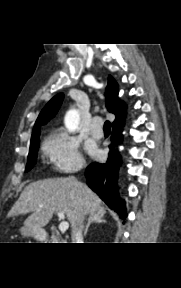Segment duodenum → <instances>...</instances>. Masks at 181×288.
<instances>
[{
    "instance_id": "obj_1",
    "label": "duodenum",
    "mask_w": 181,
    "mask_h": 288,
    "mask_svg": "<svg viewBox=\"0 0 181 288\" xmlns=\"http://www.w3.org/2000/svg\"><path fill=\"white\" fill-rule=\"evenodd\" d=\"M38 238H39V240H42V241H46L49 243L52 242V238L50 237V235H47L45 233H39Z\"/></svg>"
}]
</instances>
